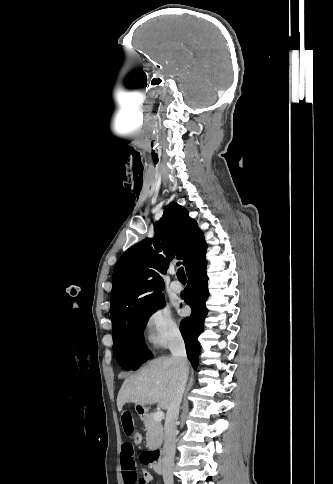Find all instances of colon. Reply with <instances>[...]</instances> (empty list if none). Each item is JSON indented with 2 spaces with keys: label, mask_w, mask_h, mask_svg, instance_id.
Returning a JSON list of instances; mask_svg holds the SVG:
<instances>
[{
  "label": "colon",
  "mask_w": 333,
  "mask_h": 484,
  "mask_svg": "<svg viewBox=\"0 0 333 484\" xmlns=\"http://www.w3.org/2000/svg\"><path fill=\"white\" fill-rule=\"evenodd\" d=\"M133 441L135 444H140L142 442V435L139 432L134 433Z\"/></svg>",
  "instance_id": "obj_1"
}]
</instances>
